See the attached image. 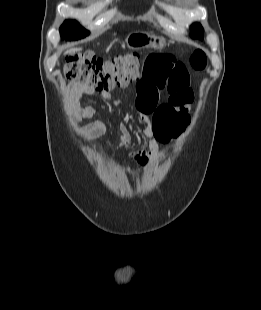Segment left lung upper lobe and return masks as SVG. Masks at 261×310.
Instances as JSON below:
<instances>
[{"instance_id": "obj_1", "label": "left lung upper lobe", "mask_w": 261, "mask_h": 310, "mask_svg": "<svg viewBox=\"0 0 261 310\" xmlns=\"http://www.w3.org/2000/svg\"><path fill=\"white\" fill-rule=\"evenodd\" d=\"M191 30H192V36L193 37H198V36H202L203 33V28L199 23H195L191 26Z\"/></svg>"}]
</instances>
